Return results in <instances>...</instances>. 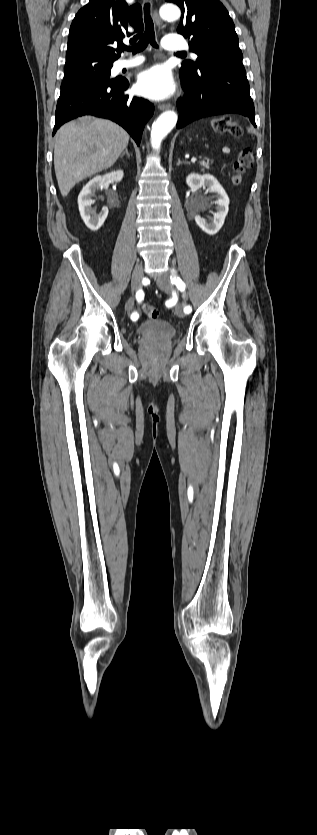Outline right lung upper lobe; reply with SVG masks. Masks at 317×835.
<instances>
[{
  "label": "right lung upper lobe",
  "instance_id": "cb5924a9",
  "mask_svg": "<svg viewBox=\"0 0 317 835\" xmlns=\"http://www.w3.org/2000/svg\"><path fill=\"white\" fill-rule=\"evenodd\" d=\"M128 27L133 28L132 33L128 32ZM142 32L139 4L128 7L125 0H90L72 21L66 59L94 56L113 62L123 51L120 41L130 36L136 39ZM115 42L117 49L113 48Z\"/></svg>",
  "mask_w": 317,
  "mask_h": 835
}]
</instances>
